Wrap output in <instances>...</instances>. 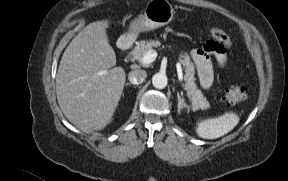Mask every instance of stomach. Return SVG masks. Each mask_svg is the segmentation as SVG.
Returning <instances> with one entry per match:
<instances>
[{
	"instance_id": "0dacf381",
	"label": "stomach",
	"mask_w": 288,
	"mask_h": 181,
	"mask_svg": "<svg viewBox=\"0 0 288 181\" xmlns=\"http://www.w3.org/2000/svg\"><path fill=\"white\" fill-rule=\"evenodd\" d=\"M174 9L167 0H150L140 14L130 24L129 31L122 35L118 43L124 47L133 42L141 32H148L167 25L174 18Z\"/></svg>"
}]
</instances>
